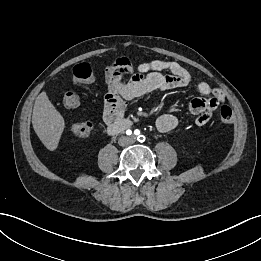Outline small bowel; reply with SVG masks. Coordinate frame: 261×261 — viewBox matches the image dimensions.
I'll return each instance as SVG.
<instances>
[{
  "label": "small bowel",
  "instance_id": "obj_1",
  "mask_svg": "<svg viewBox=\"0 0 261 261\" xmlns=\"http://www.w3.org/2000/svg\"><path fill=\"white\" fill-rule=\"evenodd\" d=\"M131 68L121 65L117 60L106 68L104 120L107 125L122 120L128 103L153 91L172 90L188 87L193 78L188 70L175 61L152 60L137 67V72L128 81ZM199 97L189 103L191 113L196 115L194 126H203L209 122L214 110L225 100L223 91L210 86L207 82L196 83ZM175 115L163 114L156 119L155 125L160 132H168L178 126Z\"/></svg>",
  "mask_w": 261,
  "mask_h": 261
}]
</instances>
